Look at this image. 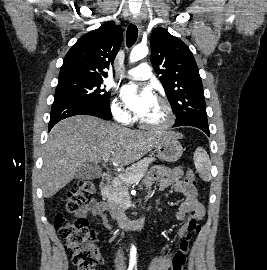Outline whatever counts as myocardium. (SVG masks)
<instances>
[{
  "label": "myocardium",
  "mask_w": 267,
  "mask_h": 270,
  "mask_svg": "<svg viewBox=\"0 0 267 270\" xmlns=\"http://www.w3.org/2000/svg\"><path fill=\"white\" fill-rule=\"evenodd\" d=\"M157 101L163 106L164 110H165V114H166V119L163 123L161 124H150L145 122L141 117L138 119L139 125L147 130H151V131H165L167 129H169L170 127H172V125L175 122V114H174V110L170 104V102L168 100H166L163 97H158Z\"/></svg>",
  "instance_id": "f54148a6"
}]
</instances>
